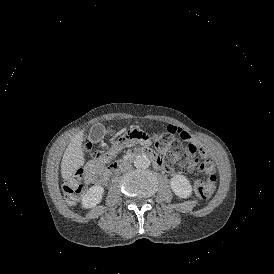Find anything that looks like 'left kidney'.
I'll return each instance as SVG.
<instances>
[{"label": "left kidney", "instance_id": "5707ae66", "mask_svg": "<svg viewBox=\"0 0 274 274\" xmlns=\"http://www.w3.org/2000/svg\"><path fill=\"white\" fill-rule=\"evenodd\" d=\"M172 191L180 198H188L192 193L189 180L183 175H174L170 180Z\"/></svg>", "mask_w": 274, "mask_h": 274}]
</instances>
